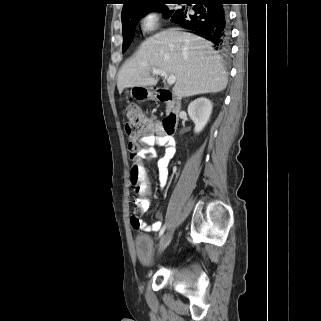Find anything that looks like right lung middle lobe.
Wrapping results in <instances>:
<instances>
[{
  "label": "right lung middle lobe",
  "mask_w": 321,
  "mask_h": 321,
  "mask_svg": "<svg viewBox=\"0 0 321 321\" xmlns=\"http://www.w3.org/2000/svg\"><path fill=\"white\" fill-rule=\"evenodd\" d=\"M170 1H178L180 2L181 0H165L158 2L154 5L148 6L143 8L142 10L122 16V30H123V45H122V51L125 52L129 45L132 42L133 39V33L135 29V24L138 22V20L141 17H144L146 14L149 12H160L166 15V18H171L173 13L176 10H169L168 7L165 5L166 3Z\"/></svg>",
  "instance_id": "right-lung-middle-lobe-1"
}]
</instances>
